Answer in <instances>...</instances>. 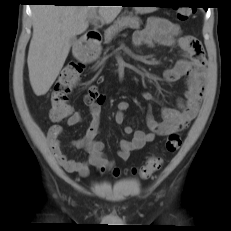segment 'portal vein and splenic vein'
I'll return each instance as SVG.
<instances>
[{
	"label": "portal vein and splenic vein",
	"instance_id": "18ae733b",
	"mask_svg": "<svg viewBox=\"0 0 231 231\" xmlns=\"http://www.w3.org/2000/svg\"><path fill=\"white\" fill-rule=\"evenodd\" d=\"M89 19H93V15H90V16H89Z\"/></svg>",
	"mask_w": 231,
	"mask_h": 231
}]
</instances>
